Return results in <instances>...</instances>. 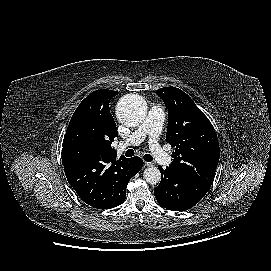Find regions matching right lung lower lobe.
<instances>
[{
  "label": "right lung lower lobe",
  "mask_w": 271,
  "mask_h": 271,
  "mask_svg": "<svg viewBox=\"0 0 271 271\" xmlns=\"http://www.w3.org/2000/svg\"><path fill=\"white\" fill-rule=\"evenodd\" d=\"M62 163L68 182L88 205L110 209L122 204L130 179L143 166L137 156H105L92 152L62 150Z\"/></svg>",
  "instance_id": "obj_1"
}]
</instances>
